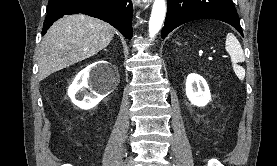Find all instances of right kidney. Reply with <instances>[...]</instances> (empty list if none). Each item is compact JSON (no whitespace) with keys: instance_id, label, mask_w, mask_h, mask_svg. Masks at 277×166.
<instances>
[{"instance_id":"1","label":"right kidney","mask_w":277,"mask_h":166,"mask_svg":"<svg viewBox=\"0 0 277 166\" xmlns=\"http://www.w3.org/2000/svg\"><path fill=\"white\" fill-rule=\"evenodd\" d=\"M105 66H108V62L99 61L97 65H90L78 73L68 89V96L70 97L73 104L81 109L88 110L95 107L107 95H102L92 90L91 93L87 91V89H89L90 87L98 88V86L95 85V83L92 82L91 79L96 74V70L104 68ZM107 79L108 77L102 78L101 82L103 86L104 83L106 84ZM107 85H109L110 87H115L117 83L116 81H113V83H109Z\"/></svg>"}]
</instances>
